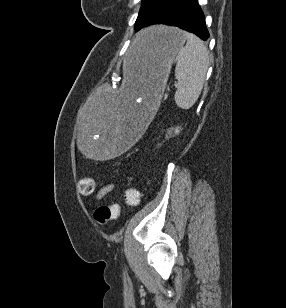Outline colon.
Listing matches in <instances>:
<instances>
[{
	"mask_svg": "<svg viewBox=\"0 0 286 308\" xmlns=\"http://www.w3.org/2000/svg\"><path fill=\"white\" fill-rule=\"evenodd\" d=\"M95 184L91 178H82L78 182V190L82 194H91ZM124 202L130 206H137L140 201L139 191L135 187H128L123 193ZM121 213V206L118 204L100 206L94 212V219L100 224H107L116 219Z\"/></svg>",
	"mask_w": 286,
	"mask_h": 308,
	"instance_id": "5ec220e1",
	"label": "colon"
}]
</instances>
